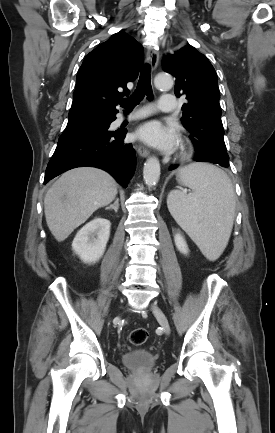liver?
<instances>
[{
    "label": "liver",
    "instance_id": "1",
    "mask_svg": "<svg viewBox=\"0 0 275 433\" xmlns=\"http://www.w3.org/2000/svg\"><path fill=\"white\" fill-rule=\"evenodd\" d=\"M117 185L107 172L80 167L61 175L44 198L46 222L58 242L64 241L97 209L116 197Z\"/></svg>",
    "mask_w": 275,
    "mask_h": 433
}]
</instances>
